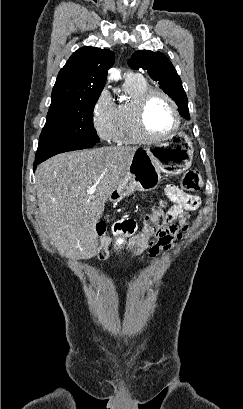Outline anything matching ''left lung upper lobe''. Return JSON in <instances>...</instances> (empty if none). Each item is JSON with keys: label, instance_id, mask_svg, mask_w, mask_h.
Here are the masks:
<instances>
[{"label": "left lung upper lobe", "instance_id": "obj_1", "mask_svg": "<svg viewBox=\"0 0 243 409\" xmlns=\"http://www.w3.org/2000/svg\"><path fill=\"white\" fill-rule=\"evenodd\" d=\"M132 69H145L149 76L158 81L164 92L178 105L181 115L189 119L188 99L181 79L170 60L161 52L137 51L128 61Z\"/></svg>", "mask_w": 243, "mask_h": 409}]
</instances>
